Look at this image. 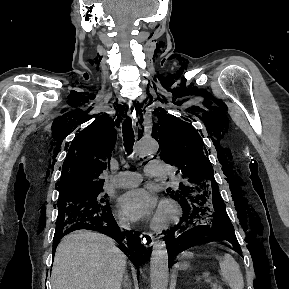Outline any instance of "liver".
<instances>
[{
  "label": "liver",
  "mask_w": 289,
  "mask_h": 289,
  "mask_svg": "<svg viewBox=\"0 0 289 289\" xmlns=\"http://www.w3.org/2000/svg\"><path fill=\"white\" fill-rule=\"evenodd\" d=\"M125 268L126 256L111 238L76 231L57 246L52 289H120Z\"/></svg>",
  "instance_id": "liver-1"
}]
</instances>
